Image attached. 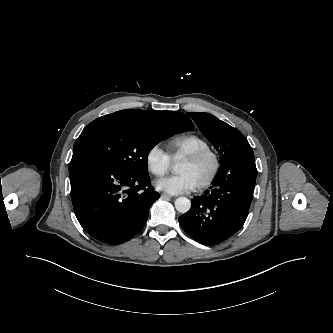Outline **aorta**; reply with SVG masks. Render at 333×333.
Masks as SVG:
<instances>
[{"instance_id":"1","label":"aorta","mask_w":333,"mask_h":333,"mask_svg":"<svg viewBox=\"0 0 333 333\" xmlns=\"http://www.w3.org/2000/svg\"><path fill=\"white\" fill-rule=\"evenodd\" d=\"M191 202L186 197H179L175 200V208L180 213H186L190 210Z\"/></svg>"}]
</instances>
